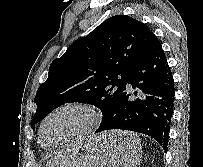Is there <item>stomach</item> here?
<instances>
[{
  "label": "stomach",
  "instance_id": "stomach-1",
  "mask_svg": "<svg viewBox=\"0 0 203 167\" xmlns=\"http://www.w3.org/2000/svg\"><path fill=\"white\" fill-rule=\"evenodd\" d=\"M100 137L94 139V142L100 140ZM133 142H131V145ZM102 147L99 145L92 148V153L83 155L73 160L68 167H107L111 163L109 157L101 152ZM131 155L133 153L131 152Z\"/></svg>",
  "mask_w": 203,
  "mask_h": 167
}]
</instances>
